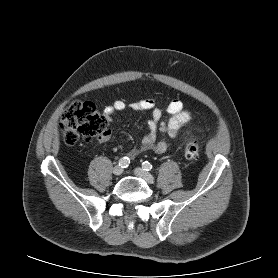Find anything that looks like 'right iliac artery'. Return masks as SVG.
<instances>
[{
	"label": "right iliac artery",
	"instance_id": "obj_1",
	"mask_svg": "<svg viewBox=\"0 0 278 278\" xmlns=\"http://www.w3.org/2000/svg\"><path fill=\"white\" fill-rule=\"evenodd\" d=\"M129 164H130V160H129L128 157H122L119 160V166L122 167V168L128 167Z\"/></svg>",
	"mask_w": 278,
	"mask_h": 278
}]
</instances>
